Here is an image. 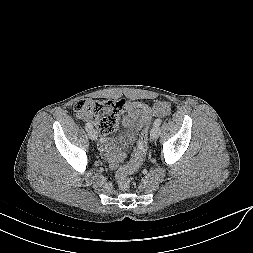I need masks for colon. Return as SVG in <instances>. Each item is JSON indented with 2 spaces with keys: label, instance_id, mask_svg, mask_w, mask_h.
I'll use <instances>...</instances> for the list:
<instances>
[{
  "label": "colon",
  "instance_id": "1",
  "mask_svg": "<svg viewBox=\"0 0 253 253\" xmlns=\"http://www.w3.org/2000/svg\"><path fill=\"white\" fill-rule=\"evenodd\" d=\"M125 110V101H100L82 99L75 103L74 112L77 117L93 121L100 133H111L118 123L120 114ZM148 144L147 130L144 129L138 139L130 161L121 166L116 172V181L120 190L126 191L130 187V175L142 165Z\"/></svg>",
  "mask_w": 253,
  "mask_h": 253
}]
</instances>
